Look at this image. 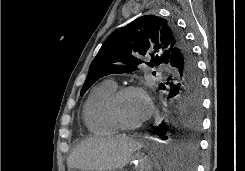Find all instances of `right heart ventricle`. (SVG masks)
<instances>
[{"mask_svg":"<svg viewBox=\"0 0 245 171\" xmlns=\"http://www.w3.org/2000/svg\"><path fill=\"white\" fill-rule=\"evenodd\" d=\"M117 86L112 80L96 85L84 104L83 119L87 129L97 135H111L119 131L109 113V99Z\"/></svg>","mask_w":245,"mask_h":171,"instance_id":"1","label":"right heart ventricle"}]
</instances>
